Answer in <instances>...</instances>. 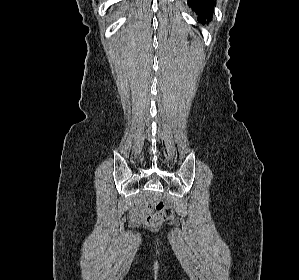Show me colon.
<instances>
[{
	"label": "colon",
	"instance_id": "5ec220e1",
	"mask_svg": "<svg viewBox=\"0 0 299 280\" xmlns=\"http://www.w3.org/2000/svg\"><path fill=\"white\" fill-rule=\"evenodd\" d=\"M153 204L155 205L156 211L147 217V224L150 227H155L173 217L174 213L172 208L162 200L155 198L153 199Z\"/></svg>",
	"mask_w": 299,
	"mask_h": 280
}]
</instances>
